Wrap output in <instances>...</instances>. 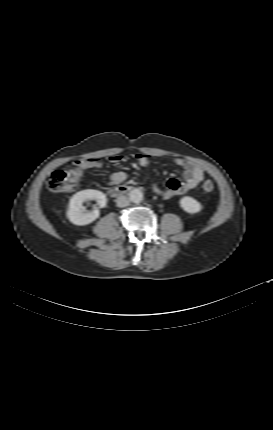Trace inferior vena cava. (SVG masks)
Masks as SVG:
<instances>
[{"instance_id":"1","label":"inferior vena cava","mask_w":273,"mask_h":430,"mask_svg":"<svg viewBox=\"0 0 273 430\" xmlns=\"http://www.w3.org/2000/svg\"><path fill=\"white\" fill-rule=\"evenodd\" d=\"M116 203L118 207L123 208L129 205V200L126 196H120L117 198Z\"/></svg>"}]
</instances>
